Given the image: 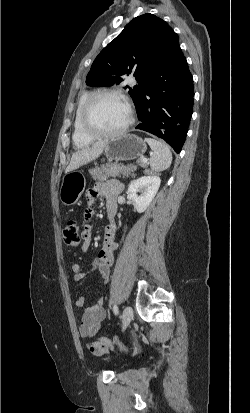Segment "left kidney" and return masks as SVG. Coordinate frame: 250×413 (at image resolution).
Listing matches in <instances>:
<instances>
[{"instance_id":"1","label":"left kidney","mask_w":250,"mask_h":413,"mask_svg":"<svg viewBox=\"0 0 250 413\" xmlns=\"http://www.w3.org/2000/svg\"><path fill=\"white\" fill-rule=\"evenodd\" d=\"M159 176L150 174L134 180L127 190V198L133 202L138 213L144 212L151 204L160 187Z\"/></svg>"}]
</instances>
